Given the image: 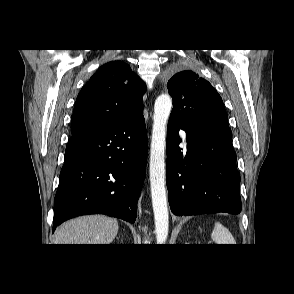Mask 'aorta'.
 Instances as JSON below:
<instances>
[{
    "mask_svg": "<svg viewBox=\"0 0 294 294\" xmlns=\"http://www.w3.org/2000/svg\"><path fill=\"white\" fill-rule=\"evenodd\" d=\"M171 109V97L167 94L158 96L154 104L149 164L157 244H164L166 242L169 231V215L165 188V146L166 125Z\"/></svg>",
    "mask_w": 294,
    "mask_h": 294,
    "instance_id": "obj_1",
    "label": "aorta"
}]
</instances>
